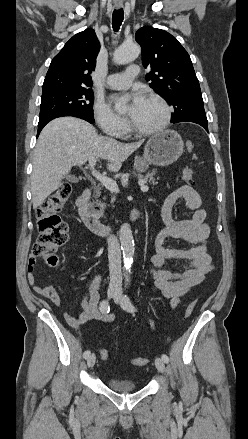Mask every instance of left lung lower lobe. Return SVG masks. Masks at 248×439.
Here are the masks:
<instances>
[{"label": "left lung lower lobe", "instance_id": "0a47b994", "mask_svg": "<svg viewBox=\"0 0 248 439\" xmlns=\"http://www.w3.org/2000/svg\"><path fill=\"white\" fill-rule=\"evenodd\" d=\"M178 122H193V123H197L199 125H201L202 127L205 128V130L208 132V121L207 118H193V117H185V118H181L175 122L172 123H178Z\"/></svg>", "mask_w": 248, "mask_h": 439}]
</instances>
